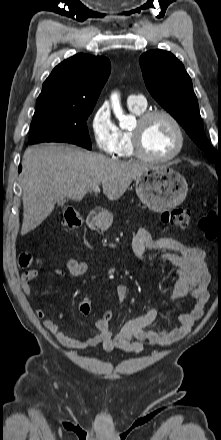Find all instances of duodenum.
<instances>
[{
  "instance_id": "410a0bca",
  "label": "duodenum",
  "mask_w": 221,
  "mask_h": 440,
  "mask_svg": "<svg viewBox=\"0 0 221 440\" xmlns=\"http://www.w3.org/2000/svg\"><path fill=\"white\" fill-rule=\"evenodd\" d=\"M105 221H106V215H104L102 211H97L89 216V223L94 227H98L104 224Z\"/></svg>"
}]
</instances>
